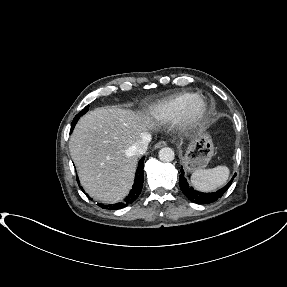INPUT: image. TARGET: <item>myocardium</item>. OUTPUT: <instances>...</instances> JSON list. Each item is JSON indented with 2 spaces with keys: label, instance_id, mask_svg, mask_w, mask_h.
I'll use <instances>...</instances> for the list:
<instances>
[{
  "label": "myocardium",
  "instance_id": "myocardium-1",
  "mask_svg": "<svg viewBox=\"0 0 287 287\" xmlns=\"http://www.w3.org/2000/svg\"><path fill=\"white\" fill-rule=\"evenodd\" d=\"M211 112L210 102L202 96H194L178 115L179 124L190 129L203 123Z\"/></svg>",
  "mask_w": 287,
  "mask_h": 287
}]
</instances>
